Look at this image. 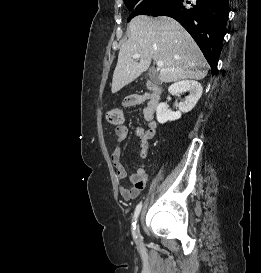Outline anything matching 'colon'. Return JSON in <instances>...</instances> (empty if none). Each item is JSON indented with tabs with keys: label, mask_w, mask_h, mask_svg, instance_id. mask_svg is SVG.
Returning a JSON list of instances; mask_svg holds the SVG:
<instances>
[{
	"label": "colon",
	"mask_w": 261,
	"mask_h": 273,
	"mask_svg": "<svg viewBox=\"0 0 261 273\" xmlns=\"http://www.w3.org/2000/svg\"><path fill=\"white\" fill-rule=\"evenodd\" d=\"M107 121L113 125H119L123 122V112L120 108H112L107 112Z\"/></svg>",
	"instance_id": "obj_1"
}]
</instances>
